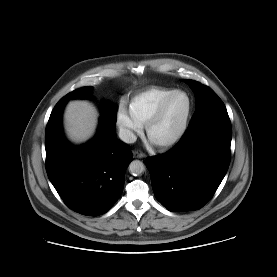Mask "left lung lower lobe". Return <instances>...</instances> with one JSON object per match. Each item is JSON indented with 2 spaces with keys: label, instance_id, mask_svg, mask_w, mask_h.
Instances as JSON below:
<instances>
[{
  "label": "left lung lower lobe",
  "instance_id": "obj_1",
  "mask_svg": "<svg viewBox=\"0 0 277 277\" xmlns=\"http://www.w3.org/2000/svg\"><path fill=\"white\" fill-rule=\"evenodd\" d=\"M231 138V122L222 111L189 126L169 152L150 157L146 166L157 200L172 212L203 207L228 170Z\"/></svg>",
  "mask_w": 277,
  "mask_h": 277
}]
</instances>
